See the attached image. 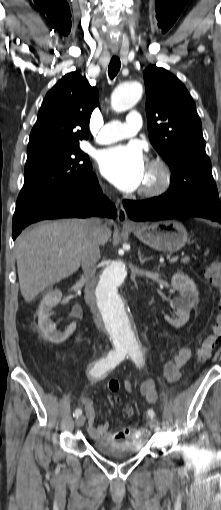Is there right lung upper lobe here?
<instances>
[{
	"label": "right lung upper lobe",
	"instance_id": "cb5924a9",
	"mask_svg": "<svg viewBox=\"0 0 221 510\" xmlns=\"http://www.w3.org/2000/svg\"><path fill=\"white\" fill-rule=\"evenodd\" d=\"M98 91L78 72H71L47 93L30 133L27 155L44 149L79 145L88 138Z\"/></svg>",
	"mask_w": 221,
	"mask_h": 510
}]
</instances>
